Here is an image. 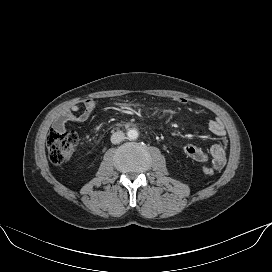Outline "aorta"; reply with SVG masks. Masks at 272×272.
<instances>
[{
    "instance_id": "762f6f07",
    "label": "aorta",
    "mask_w": 272,
    "mask_h": 272,
    "mask_svg": "<svg viewBox=\"0 0 272 272\" xmlns=\"http://www.w3.org/2000/svg\"><path fill=\"white\" fill-rule=\"evenodd\" d=\"M128 139L134 140L138 137V131L136 129H130L127 132Z\"/></svg>"
}]
</instances>
